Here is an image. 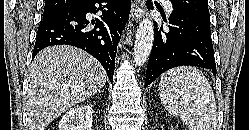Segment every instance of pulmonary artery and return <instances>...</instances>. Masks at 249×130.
<instances>
[{"instance_id":"pulmonary-artery-1","label":"pulmonary artery","mask_w":249,"mask_h":130,"mask_svg":"<svg viewBox=\"0 0 249 130\" xmlns=\"http://www.w3.org/2000/svg\"><path fill=\"white\" fill-rule=\"evenodd\" d=\"M169 11H172V4L170 0H161Z\"/></svg>"}]
</instances>
